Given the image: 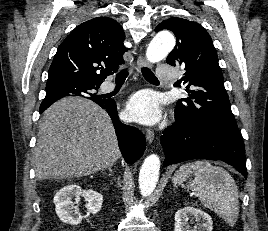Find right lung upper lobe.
Instances as JSON below:
<instances>
[{
	"label": "right lung upper lobe",
	"instance_id": "obj_1",
	"mask_svg": "<svg viewBox=\"0 0 268 231\" xmlns=\"http://www.w3.org/2000/svg\"><path fill=\"white\" fill-rule=\"evenodd\" d=\"M124 39L122 26L112 18L97 17L80 24L59 46L47 83L79 81L100 86L124 64L123 54L128 50ZM54 102L43 101L40 111Z\"/></svg>",
	"mask_w": 268,
	"mask_h": 231
}]
</instances>
